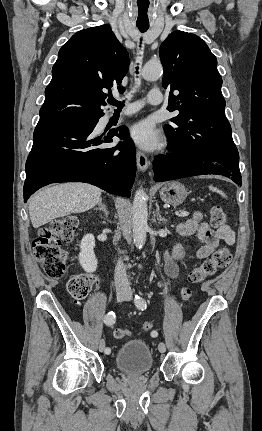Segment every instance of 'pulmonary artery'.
Wrapping results in <instances>:
<instances>
[{"label":"pulmonary artery","instance_id":"obj_1","mask_svg":"<svg viewBox=\"0 0 262 431\" xmlns=\"http://www.w3.org/2000/svg\"><path fill=\"white\" fill-rule=\"evenodd\" d=\"M149 104L158 105L163 101V94L159 88H153L149 91L147 98ZM144 106V99H139L133 103H130L127 109L120 113V117H125L139 111Z\"/></svg>","mask_w":262,"mask_h":431}]
</instances>
